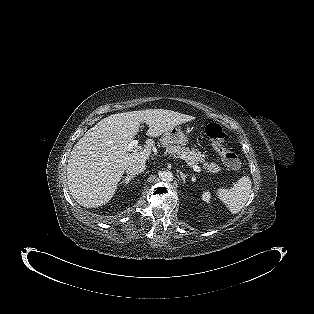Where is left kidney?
<instances>
[{
  "mask_svg": "<svg viewBox=\"0 0 314 314\" xmlns=\"http://www.w3.org/2000/svg\"><path fill=\"white\" fill-rule=\"evenodd\" d=\"M210 198H211V196H210V193L207 191V192H203V194H202V199L205 201V202H207V203H209L210 202Z\"/></svg>",
  "mask_w": 314,
  "mask_h": 314,
  "instance_id": "left-kidney-1",
  "label": "left kidney"
}]
</instances>
